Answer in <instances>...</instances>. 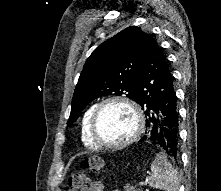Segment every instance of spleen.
<instances>
[{"instance_id":"1","label":"spleen","mask_w":221,"mask_h":191,"mask_svg":"<svg viewBox=\"0 0 221 191\" xmlns=\"http://www.w3.org/2000/svg\"><path fill=\"white\" fill-rule=\"evenodd\" d=\"M149 185L165 191H178L179 178L177 170L168 162L165 153H159L151 164Z\"/></svg>"}]
</instances>
